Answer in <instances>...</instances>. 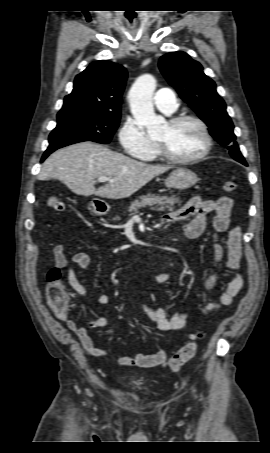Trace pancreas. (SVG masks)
<instances>
[{
  "mask_svg": "<svg viewBox=\"0 0 270 453\" xmlns=\"http://www.w3.org/2000/svg\"><path fill=\"white\" fill-rule=\"evenodd\" d=\"M182 201L177 196H155L148 194L147 196H141L140 200H135L131 203L128 207V212H137L143 207L150 206L152 209L157 211H164V210H173L175 205H180ZM114 221H120V216H115L113 218Z\"/></svg>",
  "mask_w": 270,
  "mask_h": 453,
  "instance_id": "pancreas-1",
  "label": "pancreas"
}]
</instances>
